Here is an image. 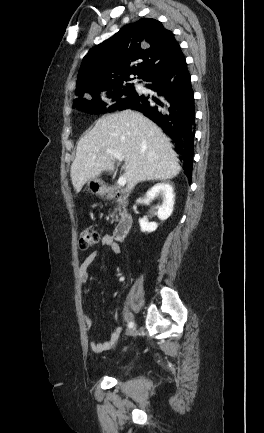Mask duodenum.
I'll return each instance as SVG.
<instances>
[{
	"label": "duodenum",
	"mask_w": 264,
	"mask_h": 433,
	"mask_svg": "<svg viewBox=\"0 0 264 433\" xmlns=\"http://www.w3.org/2000/svg\"><path fill=\"white\" fill-rule=\"evenodd\" d=\"M107 198L111 200L125 201L128 197L126 192L120 190H109L106 192ZM133 225V216L129 213L123 214L114 230V238L118 241L123 240L130 232Z\"/></svg>",
	"instance_id": "410a0bca"
}]
</instances>
